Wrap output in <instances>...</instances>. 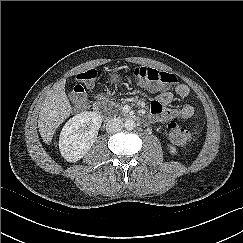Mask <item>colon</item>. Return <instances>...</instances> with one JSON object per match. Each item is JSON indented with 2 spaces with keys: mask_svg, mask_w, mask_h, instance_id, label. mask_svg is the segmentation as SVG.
<instances>
[{
  "mask_svg": "<svg viewBox=\"0 0 243 243\" xmlns=\"http://www.w3.org/2000/svg\"><path fill=\"white\" fill-rule=\"evenodd\" d=\"M130 73L139 81L152 86L171 87L179 82L176 75L150 67H133L130 69ZM98 76L99 71L97 69H90L76 76V84L70 93V98L77 108H86L84 84H91ZM167 128L171 140L177 144H185L191 139V133L176 122L169 123Z\"/></svg>",
  "mask_w": 243,
  "mask_h": 243,
  "instance_id": "5ec220e1",
  "label": "colon"
}]
</instances>
